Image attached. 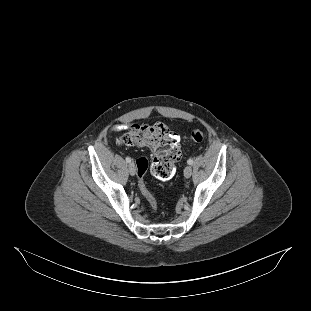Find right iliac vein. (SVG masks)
<instances>
[{
    "mask_svg": "<svg viewBox=\"0 0 311 311\" xmlns=\"http://www.w3.org/2000/svg\"><path fill=\"white\" fill-rule=\"evenodd\" d=\"M128 168H129V173H130L131 175H135V174H136V168H135L134 163H130L129 166H128Z\"/></svg>",
    "mask_w": 311,
    "mask_h": 311,
    "instance_id": "1",
    "label": "right iliac vein"
}]
</instances>
